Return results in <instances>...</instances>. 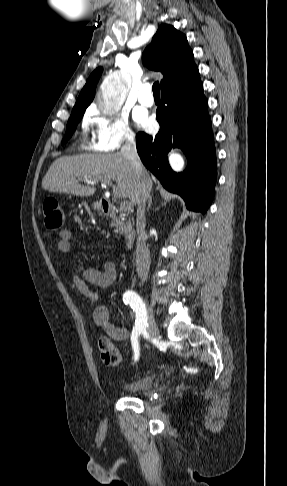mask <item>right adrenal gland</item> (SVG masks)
<instances>
[{
    "instance_id": "right-adrenal-gland-1",
    "label": "right adrenal gland",
    "mask_w": 287,
    "mask_h": 486,
    "mask_svg": "<svg viewBox=\"0 0 287 486\" xmlns=\"http://www.w3.org/2000/svg\"><path fill=\"white\" fill-rule=\"evenodd\" d=\"M151 204H152V197H151V195H150V196H149V201H148V206H147V211L150 209Z\"/></svg>"
}]
</instances>
